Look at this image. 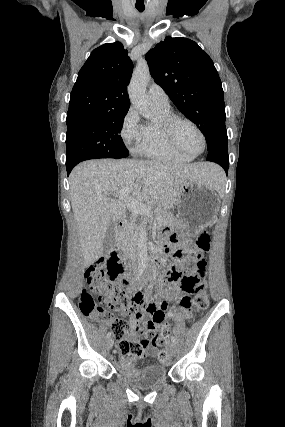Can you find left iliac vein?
Listing matches in <instances>:
<instances>
[{"instance_id": "obj_1", "label": "left iliac vein", "mask_w": 285, "mask_h": 427, "mask_svg": "<svg viewBox=\"0 0 285 427\" xmlns=\"http://www.w3.org/2000/svg\"><path fill=\"white\" fill-rule=\"evenodd\" d=\"M177 353H178V348L175 344L172 343L170 345V354L172 357H175L177 355Z\"/></svg>"}]
</instances>
